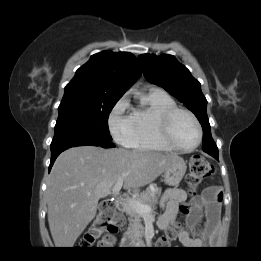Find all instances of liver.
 <instances>
[{
  "mask_svg": "<svg viewBox=\"0 0 261 261\" xmlns=\"http://www.w3.org/2000/svg\"><path fill=\"white\" fill-rule=\"evenodd\" d=\"M178 156L123 148L79 146L61 153L47 183L50 232L57 248H71L96 215L100 198L118 179L138 192L164 173Z\"/></svg>",
  "mask_w": 261,
  "mask_h": 261,
  "instance_id": "6515ba94",
  "label": "liver"
}]
</instances>
